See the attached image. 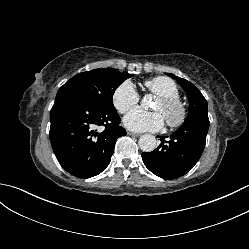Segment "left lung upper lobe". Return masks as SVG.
Here are the masks:
<instances>
[{
    "label": "left lung upper lobe",
    "mask_w": 249,
    "mask_h": 249,
    "mask_svg": "<svg viewBox=\"0 0 249 249\" xmlns=\"http://www.w3.org/2000/svg\"><path fill=\"white\" fill-rule=\"evenodd\" d=\"M168 76L177 80V82L185 90L189 99V112L183 124H188L198 119H208V105L204 96L201 94L199 89L194 86L191 82L175 77V75L166 73Z\"/></svg>",
    "instance_id": "1"
}]
</instances>
